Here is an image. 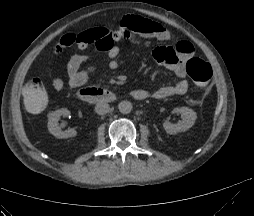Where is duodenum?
Wrapping results in <instances>:
<instances>
[{"label":"duodenum","mask_w":254,"mask_h":216,"mask_svg":"<svg viewBox=\"0 0 254 216\" xmlns=\"http://www.w3.org/2000/svg\"><path fill=\"white\" fill-rule=\"evenodd\" d=\"M131 96L135 99L139 97L135 91L131 92ZM78 97L87 102H112L116 99L112 91L100 87L83 88L79 91Z\"/></svg>","instance_id":"410a0bca"}]
</instances>
